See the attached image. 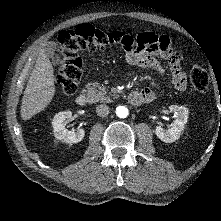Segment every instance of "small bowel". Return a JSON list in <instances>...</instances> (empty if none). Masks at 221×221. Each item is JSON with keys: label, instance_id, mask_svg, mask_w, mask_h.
Instances as JSON below:
<instances>
[{"label": "small bowel", "instance_id": "1", "mask_svg": "<svg viewBox=\"0 0 221 221\" xmlns=\"http://www.w3.org/2000/svg\"><path fill=\"white\" fill-rule=\"evenodd\" d=\"M123 48L126 61L129 64L150 68L161 74L165 73V69L157 57L167 60L173 87L178 91L186 89L187 80L180 66V54L173 51L168 36L142 32L136 38L131 36V42ZM139 92L145 97L146 102H150L156 97V93L149 88H144Z\"/></svg>", "mask_w": 221, "mask_h": 221}]
</instances>
